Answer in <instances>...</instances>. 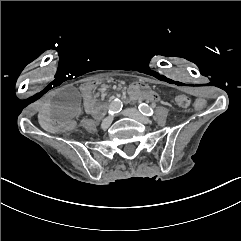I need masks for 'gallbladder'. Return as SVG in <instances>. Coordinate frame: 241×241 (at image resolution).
<instances>
[{
	"mask_svg": "<svg viewBox=\"0 0 241 241\" xmlns=\"http://www.w3.org/2000/svg\"><path fill=\"white\" fill-rule=\"evenodd\" d=\"M48 108L52 115L60 119H70L80 111V92L73 86L63 88L50 99Z\"/></svg>",
	"mask_w": 241,
	"mask_h": 241,
	"instance_id": "bac80fb5",
	"label": "gallbladder"
}]
</instances>
